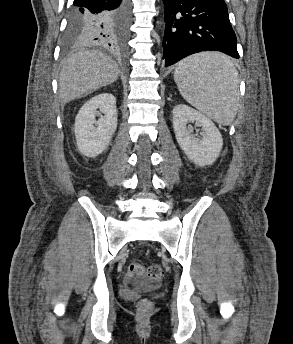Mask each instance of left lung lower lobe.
Listing matches in <instances>:
<instances>
[{
	"label": "left lung lower lobe",
	"mask_w": 293,
	"mask_h": 344,
	"mask_svg": "<svg viewBox=\"0 0 293 344\" xmlns=\"http://www.w3.org/2000/svg\"><path fill=\"white\" fill-rule=\"evenodd\" d=\"M165 67L194 53L220 51L239 58L224 0H164Z\"/></svg>",
	"instance_id": "left-lung-lower-lobe-1"
}]
</instances>
